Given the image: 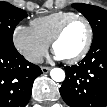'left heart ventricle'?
I'll use <instances>...</instances> for the list:
<instances>
[{"label":"left heart ventricle","mask_w":107,"mask_h":107,"mask_svg":"<svg viewBox=\"0 0 107 107\" xmlns=\"http://www.w3.org/2000/svg\"><path fill=\"white\" fill-rule=\"evenodd\" d=\"M88 30L85 23L76 20L66 29L62 38L55 45V53L63 59L76 56L85 46Z\"/></svg>","instance_id":"1"}]
</instances>
